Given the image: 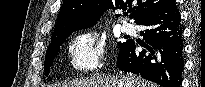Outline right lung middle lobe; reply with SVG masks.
I'll return each mask as SVG.
<instances>
[{
  "instance_id": "1",
  "label": "right lung middle lobe",
  "mask_w": 205,
  "mask_h": 87,
  "mask_svg": "<svg viewBox=\"0 0 205 87\" xmlns=\"http://www.w3.org/2000/svg\"><path fill=\"white\" fill-rule=\"evenodd\" d=\"M70 34L71 33L51 41V44L49 45V47L47 49V52H46V56H45L44 71H45L46 76H48V74H49L50 66H51L55 56L58 54L60 46L65 41V38L67 36H69ZM124 44H125V42L124 43H119V47H122Z\"/></svg>"
}]
</instances>
